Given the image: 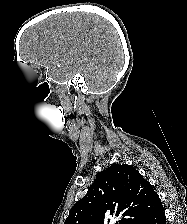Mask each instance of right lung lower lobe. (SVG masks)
Segmentation results:
<instances>
[{
  "instance_id": "obj_1",
  "label": "right lung lower lobe",
  "mask_w": 187,
  "mask_h": 224,
  "mask_svg": "<svg viewBox=\"0 0 187 224\" xmlns=\"http://www.w3.org/2000/svg\"><path fill=\"white\" fill-rule=\"evenodd\" d=\"M140 224H166V217L164 211L157 216L156 218H153L151 220L142 221Z\"/></svg>"
}]
</instances>
